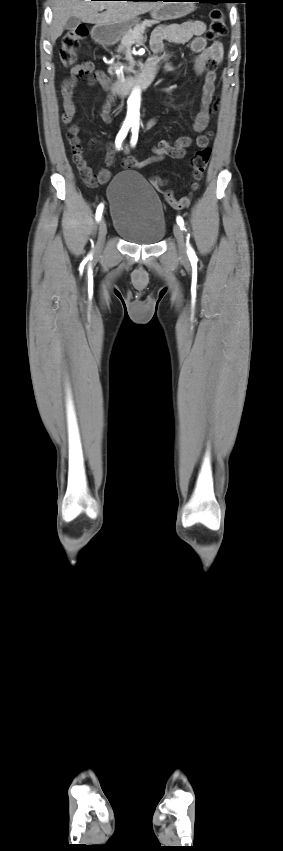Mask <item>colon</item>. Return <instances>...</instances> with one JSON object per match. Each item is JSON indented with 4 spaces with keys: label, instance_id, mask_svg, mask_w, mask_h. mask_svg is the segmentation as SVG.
<instances>
[{
    "label": "colon",
    "instance_id": "obj_1",
    "mask_svg": "<svg viewBox=\"0 0 283 851\" xmlns=\"http://www.w3.org/2000/svg\"><path fill=\"white\" fill-rule=\"evenodd\" d=\"M227 33L224 13L219 8H214L210 12V25L207 31L208 39L218 41ZM88 36V28L81 24L76 28L66 32L61 41L60 61L64 66L73 65L78 58V48L80 42ZM211 156L209 147L199 149L191 159L192 169V191L198 188V181L202 178ZM155 188L164 196L166 201L176 210H181L189 206L191 195L184 196L180 199L174 197L170 189H164V182L161 178L155 177L152 181Z\"/></svg>",
    "mask_w": 283,
    "mask_h": 851
}]
</instances>
